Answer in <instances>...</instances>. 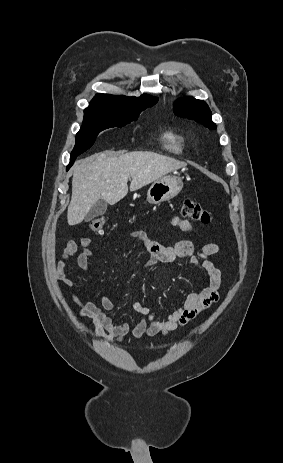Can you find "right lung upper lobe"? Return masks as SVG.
<instances>
[{"instance_id": "obj_1", "label": "right lung upper lobe", "mask_w": 283, "mask_h": 463, "mask_svg": "<svg viewBox=\"0 0 283 463\" xmlns=\"http://www.w3.org/2000/svg\"><path fill=\"white\" fill-rule=\"evenodd\" d=\"M158 101V98L144 94L140 97L115 96L109 94H97L91 102L104 104H125L133 106H146Z\"/></svg>"}]
</instances>
